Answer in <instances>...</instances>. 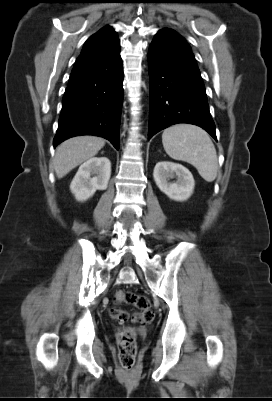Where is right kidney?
Returning a JSON list of instances; mask_svg holds the SVG:
<instances>
[{
    "label": "right kidney",
    "instance_id": "right-kidney-1",
    "mask_svg": "<svg viewBox=\"0 0 272 401\" xmlns=\"http://www.w3.org/2000/svg\"><path fill=\"white\" fill-rule=\"evenodd\" d=\"M111 176V162L107 157H93L78 169L70 184L76 200L86 201L96 190H106Z\"/></svg>",
    "mask_w": 272,
    "mask_h": 401
}]
</instances>
